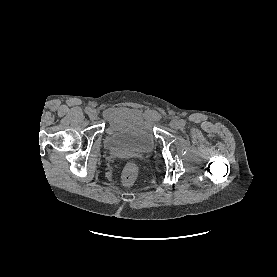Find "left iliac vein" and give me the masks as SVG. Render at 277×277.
<instances>
[{
    "instance_id": "4c4485c4",
    "label": "left iliac vein",
    "mask_w": 277,
    "mask_h": 277,
    "mask_svg": "<svg viewBox=\"0 0 277 277\" xmlns=\"http://www.w3.org/2000/svg\"><path fill=\"white\" fill-rule=\"evenodd\" d=\"M170 127L173 128V129H179L181 127V122L177 119H173L170 122Z\"/></svg>"
}]
</instances>
